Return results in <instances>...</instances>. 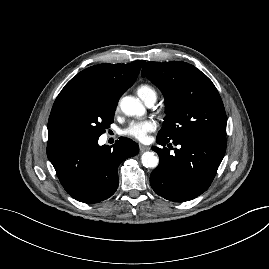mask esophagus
<instances>
[{
    "instance_id": "1",
    "label": "esophagus",
    "mask_w": 269,
    "mask_h": 269,
    "mask_svg": "<svg viewBox=\"0 0 269 269\" xmlns=\"http://www.w3.org/2000/svg\"><path fill=\"white\" fill-rule=\"evenodd\" d=\"M139 149H140V151L141 152H144V151H147V150H149L150 149V147H148V146H145V145H139Z\"/></svg>"
}]
</instances>
